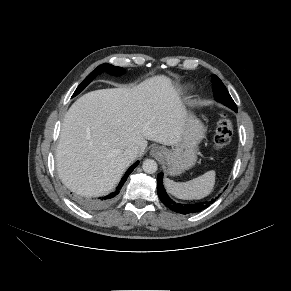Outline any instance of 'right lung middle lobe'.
<instances>
[{"label": "right lung middle lobe", "instance_id": "right-lung-middle-lobe-1", "mask_svg": "<svg viewBox=\"0 0 291 291\" xmlns=\"http://www.w3.org/2000/svg\"><path fill=\"white\" fill-rule=\"evenodd\" d=\"M103 70L113 75H120L123 73V69L121 67H116L111 64L100 65L83 80V82L75 90L72 97L79 94L97 76V74L101 73Z\"/></svg>", "mask_w": 291, "mask_h": 291}]
</instances>
